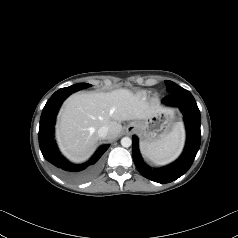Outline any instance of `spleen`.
Segmentation results:
<instances>
[{
  "label": "spleen",
  "instance_id": "obj_1",
  "mask_svg": "<svg viewBox=\"0 0 238 238\" xmlns=\"http://www.w3.org/2000/svg\"><path fill=\"white\" fill-rule=\"evenodd\" d=\"M185 143L183 123L178 122L161 140L142 145L143 154L156 164L164 165L175 160L181 153Z\"/></svg>",
  "mask_w": 238,
  "mask_h": 238
}]
</instances>
